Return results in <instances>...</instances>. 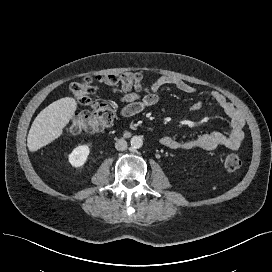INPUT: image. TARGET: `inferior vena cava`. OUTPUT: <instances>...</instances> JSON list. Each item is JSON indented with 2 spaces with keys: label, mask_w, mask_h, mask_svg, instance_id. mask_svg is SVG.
Wrapping results in <instances>:
<instances>
[{
  "label": "inferior vena cava",
  "mask_w": 272,
  "mask_h": 272,
  "mask_svg": "<svg viewBox=\"0 0 272 272\" xmlns=\"http://www.w3.org/2000/svg\"><path fill=\"white\" fill-rule=\"evenodd\" d=\"M115 148L118 151H124L127 149V142L124 139H118L115 143Z\"/></svg>",
  "instance_id": "inferior-vena-cava-1"
}]
</instances>
